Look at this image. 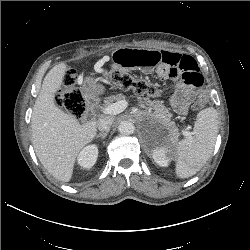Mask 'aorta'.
Here are the masks:
<instances>
[{"label":"aorta","mask_w":250,"mask_h":250,"mask_svg":"<svg viewBox=\"0 0 250 250\" xmlns=\"http://www.w3.org/2000/svg\"><path fill=\"white\" fill-rule=\"evenodd\" d=\"M118 131L121 133V134H124V135H129V134H132L134 133L135 131V126L134 124L129 121V120H125V121H121L119 126H118Z\"/></svg>","instance_id":"obj_1"}]
</instances>
